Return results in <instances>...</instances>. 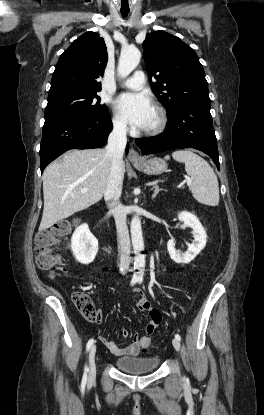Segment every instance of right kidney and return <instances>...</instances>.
Masks as SVG:
<instances>
[{"label":"right kidney","instance_id":"obj_1","mask_svg":"<svg viewBox=\"0 0 264 415\" xmlns=\"http://www.w3.org/2000/svg\"><path fill=\"white\" fill-rule=\"evenodd\" d=\"M71 250L78 262L88 265L98 252V240L90 232L87 224H82L74 231L71 238Z\"/></svg>","mask_w":264,"mask_h":415}]
</instances>
